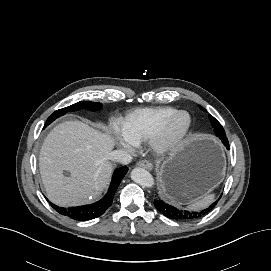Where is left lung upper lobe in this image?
I'll return each instance as SVG.
<instances>
[{
    "instance_id": "1",
    "label": "left lung upper lobe",
    "mask_w": 271,
    "mask_h": 271,
    "mask_svg": "<svg viewBox=\"0 0 271 271\" xmlns=\"http://www.w3.org/2000/svg\"><path fill=\"white\" fill-rule=\"evenodd\" d=\"M200 108L204 110L202 107ZM209 117H210V122L212 126L214 127V131L216 135L220 138L225 137V131L223 127L221 126V124L212 115H209Z\"/></svg>"
}]
</instances>
